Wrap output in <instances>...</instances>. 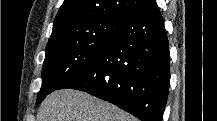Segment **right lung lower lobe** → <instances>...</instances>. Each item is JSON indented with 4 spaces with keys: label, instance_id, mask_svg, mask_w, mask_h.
Instances as JSON below:
<instances>
[{
    "label": "right lung lower lobe",
    "instance_id": "1",
    "mask_svg": "<svg viewBox=\"0 0 217 121\" xmlns=\"http://www.w3.org/2000/svg\"><path fill=\"white\" fill-rule=\"evenodd\" d=\"M169 81V42L154 0L122 25L91 64L58 89L85 91L141 121H162Z\"/></svg>",
    "mask_w": 217,
    "mask_h": 121
}]
</instances>
